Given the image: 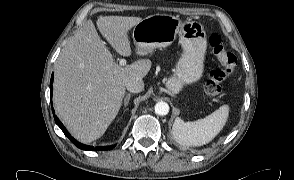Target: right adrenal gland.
<instances>
[{
  "label": "right adrenal gland",
  "instance_id": "2a0ac1e0",
  "mask_svg": "<svg viewBox=\"0 0 294 180\" xmlns=\"http://www.w3.org/2000/svg\"><path fill=\"white\" fill-rule=\"evenodd\" d=\"M130 98H131V94H127L126 97L124 98L125 107L129 104Z\"/></svg>",
  "mask_w": 294,
  "mask_h": 180
}]
</instances>
